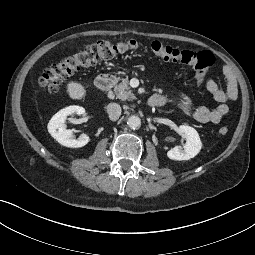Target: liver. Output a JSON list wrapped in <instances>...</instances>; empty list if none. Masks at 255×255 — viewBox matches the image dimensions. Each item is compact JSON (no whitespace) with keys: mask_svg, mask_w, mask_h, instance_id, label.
Masks as SVG:
<instances>
[{"mask_svg":"<svg viewBox=\"0 0 255 255\" xmlns=\"http://www.w3.org/2000/svg\"><path fill=\"white\" fill-rule=\"evenodd\" d=\"M67 93L71 99L81 100L85 97L86 90L80 83L71 81L67 84Z\"/></svg>","mask_w":255,"mask_h":255,"instance_id":"obj_1","label":"liver"}]
</instances>
